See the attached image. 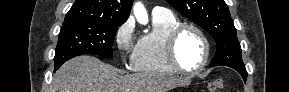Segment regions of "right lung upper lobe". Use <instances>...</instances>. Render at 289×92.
<instances>
[{"label": "right lung upper lobe", "mask_w": 289, "mask_h": 92, "mask_svg": "<svg viewBox=\"0 0 289 92\" xmlns=\"http://www.w3.org/2000/svg\"><path fill=\"white\" fill-rule=\"evenodd\" d=\"M133 0H76L65 21H97L124 23L130 14Z\"/></svg>", "instance_id": "obj_1"}]
</instances>
